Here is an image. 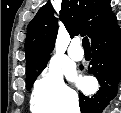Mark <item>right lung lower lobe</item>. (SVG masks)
<instances>
[{"instance_id":"98d812e1","label":"right lung lower lobe","mask_w":121,"mask_h":113,"mask_svg":"<svg viewBox=\"0 0 121 113\" xmlns=\"http://www.w3.org/2000/svg\"><path fill=\"white\" fill-rule=\"evenodd\" d=\"M91 47L93 58L89 72L97 78L100 88L91 97L79 93L81 113H101L117 94L121 78V31L118 25L92 40Z\"/></svg>"}]
</instances>
